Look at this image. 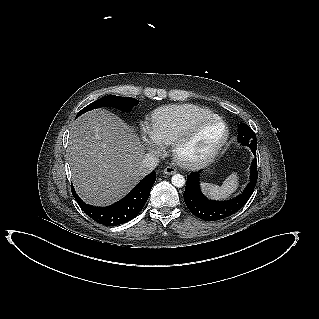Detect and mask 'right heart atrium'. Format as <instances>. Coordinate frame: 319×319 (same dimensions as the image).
<instances>
[{"label": "right heart atrium", "instance_id": "d8ad5b80", "mask_svg": "<svg viewBox=\"0 0 319 319\" xmlns=\"http://www.w3.org/2000/svg\"><path fill=\"white\" fill-rule=\"evenodd\" d=\"M140 137L147 149L155 153H161L164 149V143H162L152 132L151 128L146 125H142L140 128Z\"/></svg>", "mask_w": 319, "mask_h": 319}]
</instances>
